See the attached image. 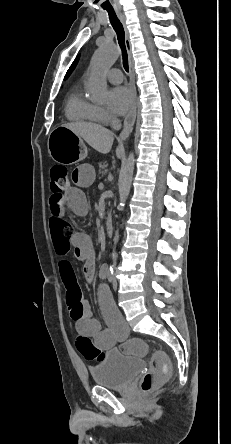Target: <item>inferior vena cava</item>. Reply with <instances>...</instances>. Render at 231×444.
Masks as SVG:
<instances>
[{
  "instance_id": "1",
  "label": "inferior vena cava",
  "mask_w": 231,
  "mask_h": 444,
  "mask_svg": "<svg viewBox=\"0 0 231 444\" xmlns=\"http://www.w3.org/2000/svg\"><path fill=\"white\" fill-rule=\"evenodd\" d=\"M112 128L119 130L121 128V122L117 118H113L111 122Z\"/></svg>"
}]
</instances>
